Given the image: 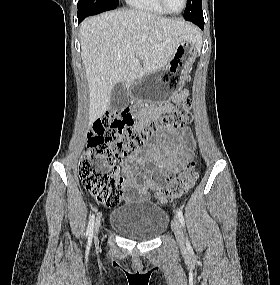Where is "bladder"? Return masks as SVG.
I'll return each instance as SVG.
<instances>
[{"instance_id": "1", "label": "bladder", "mask_w": 280, "mask_h": 285, "mask_svg": "<svg viewBox=\"0 0 280 285\" xmlns=\"http://www.w3.org/2000/svg\"><path fill=\"white\" fill-rule=\"evenodd\" d=\"M109 223L124 237L152 240L166 230L168 214L152 202L131 201L114 209Z\"/></svg>"}]
</instances>
